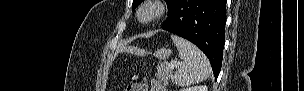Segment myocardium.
<instances>
[{
    "mask_svg": "<svg viewBox=\"0 0 304 91\" xmlns=\"http://www.w3.org/2000/svg\"><path fill=\"white\" fill-rule=\"evenodd\" d=\"M165 1L161 0H145L141 3L136 12V18L141 24H151L159 20L165 12ZM148 12L144 16V12Z\"/></svg>",
    "mask_w": 304,
    "mask_h": 91,
    "instance_id": "f54148a6",
    "label": "myocardium"
}]
</instances>
